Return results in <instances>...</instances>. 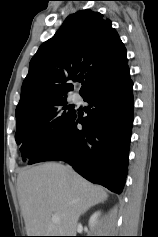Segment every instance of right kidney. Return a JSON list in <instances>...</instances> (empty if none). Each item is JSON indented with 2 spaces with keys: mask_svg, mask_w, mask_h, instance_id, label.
I'll use <instances>...</instances> for the list:
<instances>
[{
  "mask_svg": "<svg viewBox=\"0 0 158 237\" xmlns=\"http://www.w3.org/2000/svg\"><path fill=\"white\" fill-rule=\"evenodd\" d=\"M100 211L94 212L89 219V226L93 228L98 223V218L100 216Z\"/></svg>",
  "mask_w": 158,
  "mask_h": 237,
  "instance_id": "right-kidney-1",
  "label": "right kidney"
}]
</instances>
